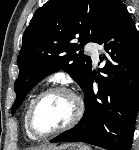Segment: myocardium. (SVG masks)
<instances>
[{"instance_id": "myocardium-1", "label": "myocardium", "mask_w": 139, "mask_h": 150, "mask_svg": "<svg viewBox=\"0 0 139 150\" xmlns=\"http://www.w3.org/2000/svg\"><path fill=\"white\" fill-rule=\"evenodd\" d=\"M55 92H63V93L70 95L75 103V112H74L72 118L65 125L57 128V129H54L52 131H49V132H45V133L38 132L35 129L34 123H33L35 110H36L39 102L45 96H47L51 93H55ZM83 112H84V104H83L81 98L78 96V94L76 92H74L71 88L64 86V85L50 86V87L44 89L43 91H41L33 99L32 103L29 107L28 114H27V128H28L29 132L35 138H47V137L65 132V131L73 128L82 118Z\"/></svg>"}]
</instances>
